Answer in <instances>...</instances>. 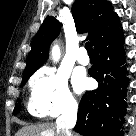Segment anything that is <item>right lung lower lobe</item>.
<instances>
[{
  "instance_id": "obj_1",
  "label": "right lung lower lobe",
  "mask_w": 136,
  "mask_h": 136,
  "mask_svg": "<svg viewBox=\"0 0 136 136\" xmlns=\"http://www.w3.org/2000/svg\"><path fill=\"white\" fill-rule=\"evenodd\" d=\"M120 34L98 44L96 63L90 75L99 82L96 90L86 92L79 104L75 131L84 136H120L124 122L126 65Z\"/></svg>"
}]
</instances>
